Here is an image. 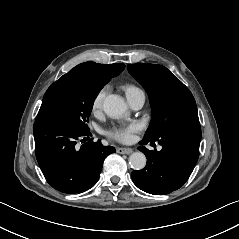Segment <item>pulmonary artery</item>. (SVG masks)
Segmentation results:
<instances>
[{
    "label": "pulmonary artery",
    "instance_id": "e3ab8cb5",
    "mask_svg": "<svg viewBox=\"0 0 239 239\" xmlns=\"http://www.w3.org/2000/svg\"><path fill=\"white\" fill-rule=\"evenodd\" d=\"M126 96L130 106L134 109L141 108L145 103L146 95L140 88L127 91Z\"/></svg>",
    "mask_w": 239,
    "mask_h": 239
}]
</instances>
